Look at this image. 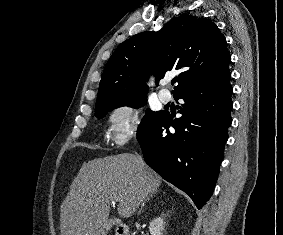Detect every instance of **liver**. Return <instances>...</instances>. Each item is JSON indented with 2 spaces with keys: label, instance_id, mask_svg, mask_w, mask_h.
<instances>
[{
  "label": "liver",
  "instance_id": "6515ba94",
  "mask_svg": "<svg viewBox=\"0 0 283 235\" xmlns=\"http://www.w3.org/2000/svg\"><path fill=\"white\" fill-rule=\"evenodd\" d=\"M161 182V177L134 154L89 161L80 169L62 203L61 235H106L112 227L108 216L114 195L120 198L119 216L128 218Z\"/></svg>",
  "mask_w": 283,
  "mask_h": 235
}]
</instances>
